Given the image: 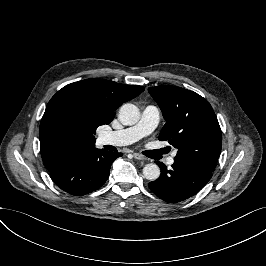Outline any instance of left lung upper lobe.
I'll return each mask as SVG.
<instances>
[{
	"mask_svg": "<svg viewBox=\"0 0 266 266\" xmlns=\"http://www.w3.org/2000/svg\"><path fill=\"white\" fill-rule=\"evenodd\" d=\"M148 91L167 121L159 140H169L178 149L174 159L213 171L221 152L222 137L211 105L197 93L180 87L161 85Z\"/></svg>",
	"mask_w": 266,
	"mask_h": 266,
	"instance_id": "1",
	"label": "left lung upper lobe"
}]
</instances>
